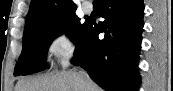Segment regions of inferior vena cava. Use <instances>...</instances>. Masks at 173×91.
<instances>
[{"label": "inferior vena cava", "instance_id": "602c4592", "mask_svg": "<svg viewBox=\"0 0 173 91\" xmlns=\"http://www.w3.org/2000/svg\"><path fill=\"white\" fill-rule=\"evenodd\" d=\"M79 74L82 78L88 77L87 73L84 70L80 71Z\"/></svg>", "mask_w": 173, "mask_h": 91}]
</instances>
